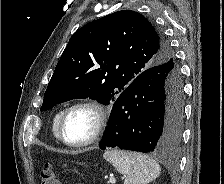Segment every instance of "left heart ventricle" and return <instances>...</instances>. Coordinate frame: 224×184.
Instances as JSON below:
<instances>
[{"label": "left heart ventricle", "mask_w": 224, "mask_h": 184, "mask_svg": "<svg viewBox=\"0 0 224 184\" xmlns=\"http://www.w3.org/2000/svg\"><path fill=\"white\" fill-rule=\"evenodd\" d=\"M96 114L88 108L73 110L65 120L64 136L70 142H82L93 133L96 124Z\"/></svg>", "instance_id": "1"}]
</instances>
